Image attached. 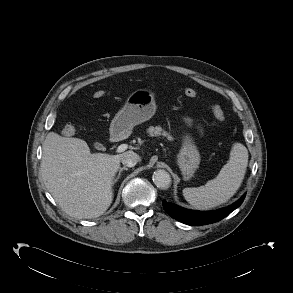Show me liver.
<instances>
[{
	"instance_id": "1",
	"label": "liver",
	"mask_w": 293,
	"mask_h": 293,
	"mask_svg": "<svg viewBox=\"0 0 293 293\" xmlns=\"http://www.w3.org/2000/svg\"><path fill=\"white\" fill-rule=\"evenodd\" d=\"M123 154H92L84 140L49 132L43 142L40 172L47 190L66 214L95 218L112 203L114 177Z\"/></svg>"
}]
</instances>
